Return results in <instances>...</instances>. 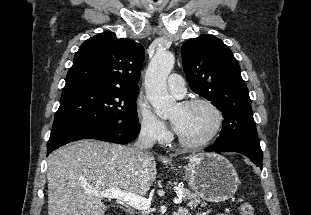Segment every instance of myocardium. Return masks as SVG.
<instances>
[{"label": "myocardium", "instance_id": "1", "mask_svg": "<svg viewBox=\"0 0 311 215\" xmlns=\"http://www.w3.org/2000/svg\"><path fill=\"white\" fill-rule=\"evenodd\" d=\"M179 105L183 108H188L194 105H205L213 111V113L216 116V123H215L213 130L204 139L197 141V142H190V141L184 140L179 134H177V140L179 144L182 145L183 147L190 148V149H198V148H202L208 145L219 134V132L221 131L223 127L224 115L222 111L220 110V108L212 101L206 98H200V97L189 98V99L183 100L179 103Z\"/></svg>", "mask_w": 311, "mask_h": 215}]
</instances>
